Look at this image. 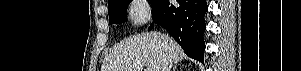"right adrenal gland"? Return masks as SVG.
Segmentation results:
<instances>
[{"instance_id": "1", "label": "right adrenal gland", "mask_w": 301, "mask_h": 71, "mask_svg": "<svg viewBox=\"0 0 301 71\" xmlns=\"http://www.w3.org/2000/svg\"><path fill=\"white\" fill-rule=\"evenodd\" d=\"M177 70V65H175L174 67H173V71H176Z\"/></svg>"}]
</instances>
